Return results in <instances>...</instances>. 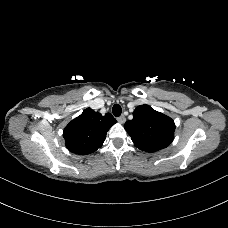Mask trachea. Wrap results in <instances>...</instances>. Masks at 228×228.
I'll return each instance as SVG.
<instances>
[{
	"mask_svg": "<svg viewBox=\"0 0 228 228\" xmlns=\"http://www.w3.org/2000/svg\"><path fill=\"white\" fill-rule=\"evenodd\" d=\"M113 115L119 117L122 113L121 106L119 104H115L112 108Z\"/></svg>",
	"mask_w": 228,
	"mask_h": 228,
	"instance_id": "obj_1",
	"label": "trachea"
}]
</instances>
